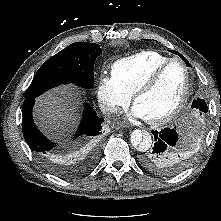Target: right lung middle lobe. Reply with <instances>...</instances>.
I'll return each instance as SVG.
<instances>
[{
	"label": "right lung middle lobe",
	"instance_id": "obj_1",
	"mask_svg": "<svg viewBox=\"0 0 221 221\" xmlns=\"http://www.w3.org/2000/svg\"><path fill=\"white\" fill-rule=\"evenodd\" d=\"M102 53L99 45L76 42L48 59L35 74L25 99L36 98L63 83H75L90 89L94 85V62Z\"/></svg>",
	"mask_w": 221,
	"mask_h": 221
}]
</instances>
